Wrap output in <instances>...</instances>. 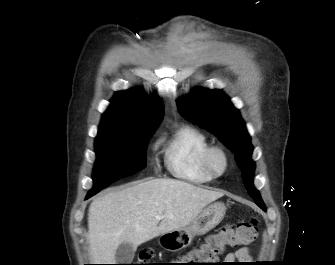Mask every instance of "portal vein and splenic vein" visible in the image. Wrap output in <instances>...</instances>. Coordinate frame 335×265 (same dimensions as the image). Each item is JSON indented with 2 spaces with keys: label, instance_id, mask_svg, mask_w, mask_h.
<instances>
[{
  "label": "portal vein and splenic vein",
  "instance_id": "obj_1",
  "mask_svg": "<svg viewBox=\"0 0 335 265\" xmlns=\"http://www.w3.org/2000/svg\"><path fill=\"white\" fill-rule=\"evenodd\" d=\"M162 218H163V217H162L161 215H156V216H155V219H156L157 222L160 221Z\"/></svg>",
  "mask_w": 335,
  "mask_h": 265
}]
</instances>
